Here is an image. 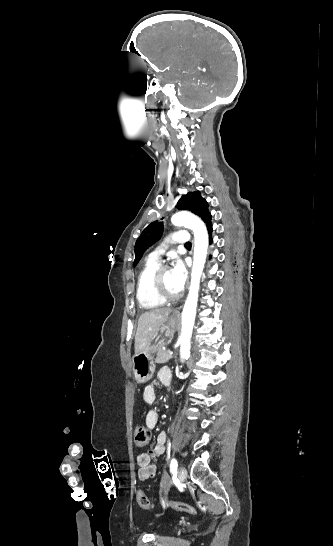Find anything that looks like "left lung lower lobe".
Masks as SVG:
<instances>
[{"label": "left lung lower lobe", "mask_w": 333, "mask_h": 546, "mask_svg": "<svg viewBox=\"0 0 333 546\" xmlns=\"http://www.w3.org/2000/svg\"><path fill=\"white\" fill-rule=\"evenodd\" d=\"M205 224H206L207 231H208V233H209V235H210V237H209V243L211 244V243L213 242V240H212V238H211V234H212V230H213V229H212V223H211V217H209V218L207 219V221L205 222Z\"/></svg>", "instance_id": "1"}]
</instances>
